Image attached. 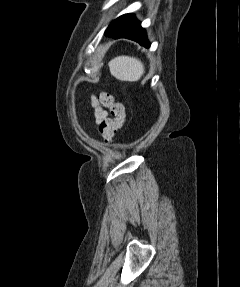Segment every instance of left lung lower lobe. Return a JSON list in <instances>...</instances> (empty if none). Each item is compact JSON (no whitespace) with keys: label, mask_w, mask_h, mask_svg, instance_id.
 I'll list each match as a JSON object with an SVG mask.
<instances>
[{"label":"left lung lower lobe","mask_w":240,"mask_h":287,"mask_svg":"<svg viewBox=\"0 0 240 287\" xmlns=\"http://www.w3.org/2000/svg\"><path fill=\"white\" fill-rule=\"evenodd\" d=\"M104 34L105 36L115 39H131L145 47H150L145 30L140 26V22L136 20L132 14H125L113 20Z\"/></svg>","instance_id":"obj_1"}]
</instances>
